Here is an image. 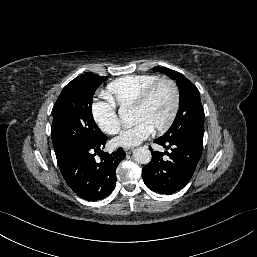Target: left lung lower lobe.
<instances>
[{
	"label": "left lung lower lobe",
	"instance_id": "0a47b994",
	"mask_svg": "<svg viewBox=\"0 0 257 257\" xmlns=\"http://www.w3.org/2000/svg\"><path fill=\"white\" fill-rule=\"evenodd\" d=\"M155 143L166 149L169 159L163 153L152 152V160L142 170L146 186L154 192L172 194L181 190L191 179L202 153L203 140L179 138L166 140L158 138Z\"/></svg>",
	"mask_w": 257,
	"mask_h": 257
}]
</instances>
